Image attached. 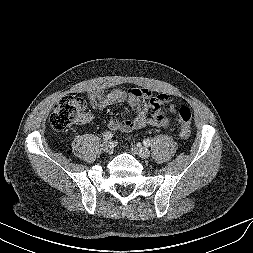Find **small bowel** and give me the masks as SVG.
<instances>
[{"instance_id":"small-bowel-1","label":"small bowel","mask_w":253,"mask_h":253,"mask_svg":"<svg viewBox=\"0 0 253 253\" xmlns=\"http://www.w3.org/2000/svg\"><path fill=\"white\" fill-rule=\"evenodd\" d=\"M89 104L93 109L103 110L114 104L127 101L135 116L132 119H111L108 128L111 131L130 132L141 129L147 125L166 127V111L174 112L171 97L167 94H156L147 89L130 88L114 89L108 93L102 91H89L87 94ZM84 121L90 120L89 115H84Z\"/></svg>"}]
</instances>
